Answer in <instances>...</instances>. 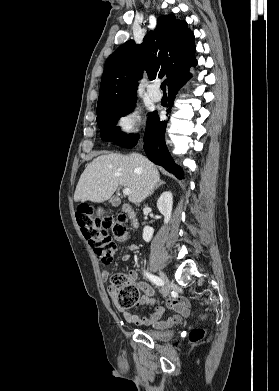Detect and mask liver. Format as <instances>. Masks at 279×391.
I'll return each mask as SVG.
<instances>
[{"label":"liver","mask_w":279,"mask_h":391,"mask_svg":"<svg viewBox=\"0 0 279 391\" xmlns=\"http://www.w3.org/2000/svg\"><path fill=\"white\" fill-rule=\"evenodd\" d=\"M159 181L158 169L141 154L101 155L90 162L82 173L74 201L104 202L121 185L131 190L129 201L139 204L150 195Z\"/></svg>","instance_id":"6515ba94"}]
</instances>
